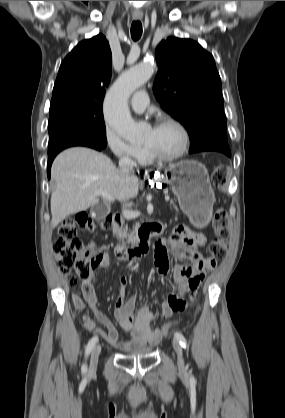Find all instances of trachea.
Wrapping results in <instances>:
<instances>
[{
    "instance_id": "obj_1",
    "label": "trachea",
    "mask_w": 285,
    "mask_h": 418,
    "mask_svg": "<svg viewBox=\"0 0 285 418\" xmlns=\"http://www.w3.org/2000/svg\"><path fill=\"white\" fill-rule=\"evenodd\" d=\"M142 35V24L140 21H134L131 25V37L133 40L140 39Z\"/></svg>"
}]
</instances>
